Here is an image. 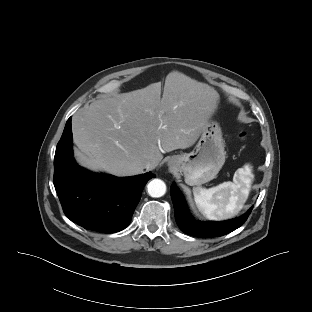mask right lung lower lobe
<instances>
[{
	"mask_svg": "<svg viewBox=\"0 0 312 312\" xmlns=\"http://www.w3.org/2000/svg\"><path fill=\"white\" fill-rule=\"evenodd\" d=\"M152 172L119 178L92 173L73 157L71 118L54 157V186L65 215L85 229L114 233L126 228Z\"/></svg>",
	"mask_w": 312,
	"mask_h": 312,
	"instance_id": "98d812e1",
	"label": "right lung lower lobe"
}]
</instances>
